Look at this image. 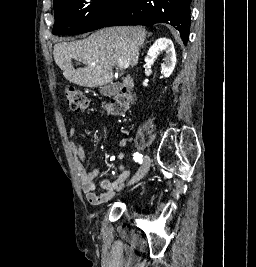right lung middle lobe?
I'll return each instance as SVG.
<instances>
[{"mask_svg":"<svg viewBox=\"0 0 256 267\" xmlns=\"http://www.w3.org/2000/svg\"><path fill=\"white\" fill-rule=\"evenodd\" d=\"M133 0H56L53 34H77L102 28Z\"/></svg>","mask_w":256,"mask_h":267,"instance_id":"right-lung-middle-lobe-1","label":"right lung middle lobe"}]
</instances>
